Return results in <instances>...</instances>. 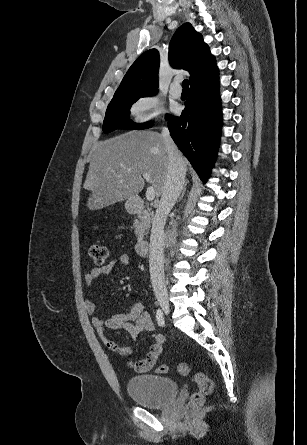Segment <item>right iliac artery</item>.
<instances>
[{"label": "right iliac artery", "mask_w": 307, "mask_h": 445, "mask_svg": "<svg viewBox=\"0 0 307 445\" xmlns=\"http://www.w3.org/2000/svg\"><path fill=\"white\" fill-rule=\"evenodd\" d=\"M156 320L159 326H163L164 325V315L163 312L161 311V309H158L156 312Z\"/></svg>", "instance_id": "1"}]
</instances>
